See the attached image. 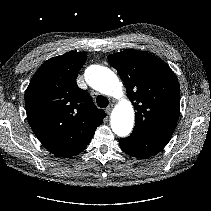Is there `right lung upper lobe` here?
<instances>
[{
    "label": "right lung upper lobe",
    "instance_id": "1",
    "mask_svg": "<svg viewBox=\"0 0 211 211\" xmlns=\"http://www.w3.org/2000/svg\"><path fill=\"white\" fill-rule=\"evenodd\" d=\"M86 57L85 53L70 51L45 61L25 92L29 124L54 155L71 157L82 152L106 116L89 93L77 86Z\"/></svg>",
    "mask_w": 211,
    "mask_h": 211
}]
</instances>
